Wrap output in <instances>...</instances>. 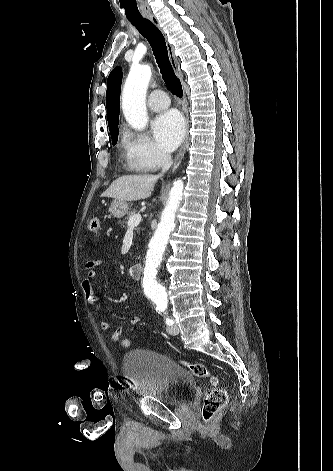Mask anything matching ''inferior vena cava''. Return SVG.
<instances>
[{
  "label": "inferior vena cava",
  "mask_w": 333,
  "mask_h": 471,
  "mask_svg": "<svg viewBox=\"0 0 333 471\" xmlns=\"http://www.w3.org/2000/svg\"><path fill=\"white\" fill-rule=\"evenodd\" d=\"M172 165V158L171 155L168 153H163L162 154V172L158 175L161 176L163 175L166 171L169 170V168Z\"/></svg>",
  "instance_id": "inferior-vena-cava-1"
}]
</instances>
